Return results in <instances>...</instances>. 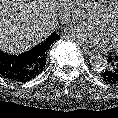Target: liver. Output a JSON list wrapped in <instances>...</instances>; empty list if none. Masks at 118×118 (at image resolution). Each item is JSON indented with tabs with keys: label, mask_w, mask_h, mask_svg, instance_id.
<instances>
[{
	"label": "liver",
	"mask_w": 118,
	"mask_h": 118,
	"mask_svg": "<svg viewBox=\"0 0 118 118\" xmlns=\"http://www.w3.org/2000/svg\"><path fill=\"white\" fill-rule=\"evenodd\" d=\"M55 0H2L0 2V48L22 53L55 31Z\"/></svg>",
	"instance_id": "6515ba94"
}]
</instances>
